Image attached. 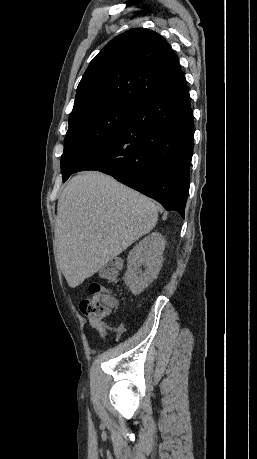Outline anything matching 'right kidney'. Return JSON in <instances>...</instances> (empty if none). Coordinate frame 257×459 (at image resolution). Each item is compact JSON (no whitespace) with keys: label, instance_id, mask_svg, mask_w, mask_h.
<instances>
[{"label":"right kidney","instance_id":"ca27d5eb","mask_svg":"<svg viewBox=\"0 0 257 459\" xmlns=\"http://www.w3.org/2000/svg\"><path fill=\"white\" fill-rule=\"evenodd\" d=\"M164 248L163 236L154 232L129 252L124 282L134 295L140 294L157 277L163 262Z\"/></svg>","mask_w":257,"mask_h":459}]
</instances>
